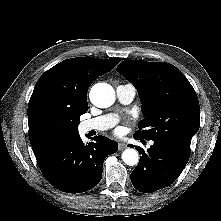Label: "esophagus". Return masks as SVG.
<instances>
[{"mask_svg":"<svg viewBox=\"0 0 221 221\" xmlns=\"http://www.w3.org/2000/svg\"><path fill=\"white\" fill-rule=\"evenodd\" d=\"M126 148V144L123 142L118 143V150L122 151Z\"/></svg>","mask_w":221,"mask_h":221,"instance_id":"34e87169","label":"esophagus"}]
</instances>
